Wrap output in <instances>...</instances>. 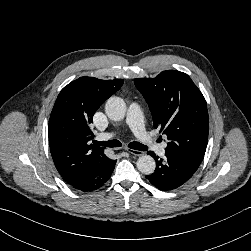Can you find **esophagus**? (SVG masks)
Masks as SVG:
<instances>
[{
  "instance_id": "34e87169",
  "label": "esophagus",
  "mask_w": 251,
  "mask_h": 251,
  "mask_svg": "<svg viewBox=\"0 0 251 251\" xmlns=\"http://www.w3.org/2000/svg\"><path fill=\"white\" fill-rule=\"evenodd\" d=\"M126 151L134 156H142L144 153L138 150H134V149H130V148H126Z\"/></svg>"
}]
</instances>
